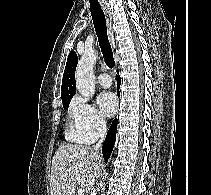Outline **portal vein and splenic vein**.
<instances>
[{"label":"portal vein and splenic vein","mask_w":211,"mask_h":195,"mask_svg":"<svg viewBox=\"0 0 211 195\" xmlns=\"http://www.w3.org/2000/svg\"><path fill=\"white\" fill-rule=\"evenodd\" d=\"M78 182H80V177H77ZM78 195H84V189L78 190Z\"/></svg>","instance_id":"1"}]
</instances>
